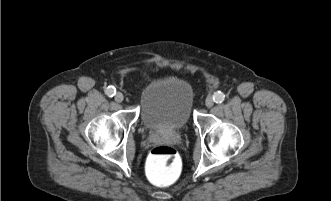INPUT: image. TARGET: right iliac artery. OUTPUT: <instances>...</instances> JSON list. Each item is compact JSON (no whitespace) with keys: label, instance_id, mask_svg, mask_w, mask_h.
I'll return each instance as SVG.
<instances>
[{"label":"right iliac artery","instance_id":"right-iliac-artery-1","mask_svg":"<svg viewBox=\"0 0 331 201\" xmlns=\"http://www.w3.org/2000/svg\"><path fill=\"white\" fill-rule=\"evenodd\" d=\"M105 93L109 97H113L116 94V89L113 86H108L107 89L105 90Z\"/></svg>","mask_w":331,"mask_h":201}]
</instances>
